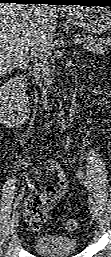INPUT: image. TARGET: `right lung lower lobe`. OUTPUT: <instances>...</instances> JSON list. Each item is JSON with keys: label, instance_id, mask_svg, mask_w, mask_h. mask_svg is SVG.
<instances>
[{"label": "right lung lower lobe", "instance_id": "obj_1", "mask_svg": "<svg viewBox=\"0 0 111 257\" xmlns=\"http://www.w3.org/2000/svg\"><path fill=\"white\" fill-rule=\"evenodd\" d=\"M53 0H0V3H18V4H52Z\"/></svg>", "mask_w": 111, "mask_h": 257}]
</instances>
